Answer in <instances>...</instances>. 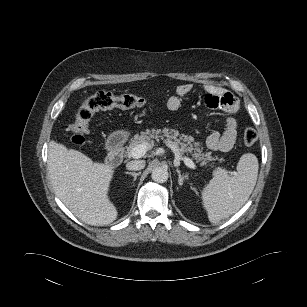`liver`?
<instances>
[{
  "label": "liver",
  "instance_id": "obj_1",
  "mask_svg": "<svg viewBox=\"0 0 307 307\" xmlns=\"http://www.w3.org/2000/svg\"><path fill=\"white\" fill-rule=\"evenodd\" d=\"M47 165L55 194L82 222L103 226L116 220L117 209L108 198L113 167L93 162L53 140L48 147Z\"/></svg>",
  "mask_w": 307,
  "mask_h": 307
}]
</instances>
